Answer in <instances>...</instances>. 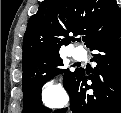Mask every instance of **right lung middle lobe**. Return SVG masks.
<instances>
[{
    "label": "right lung middle lobe",
    "mask_w": 121,
    "mask_h": 113,
    "mask_svg": "<svg viewBox=\"0 0 121 113\" xmlns=\"http://www.w3.org/2000/svg\"><path fill=\"white\" fill-rule=\"evenodd\" d=\"M59 54L43 57L23 68L22 87L24 93V113H50L41 103V88L43 84L58 74H64V87L76 71L63 69Z\"/></svg>",
    "instance_id": "1"
}]
</instances>
